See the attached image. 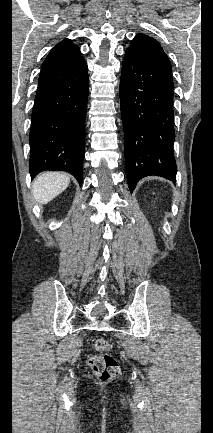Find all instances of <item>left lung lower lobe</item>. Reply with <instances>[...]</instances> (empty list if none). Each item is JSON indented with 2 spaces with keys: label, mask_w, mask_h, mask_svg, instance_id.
<instances>
[{
  "label": "left lung lower lobe",
  "mask_w": 213,
  "mask_h": 433,
  "mask_svg": "<svg viewBox=\"0 0 213 433\" xmlns=\"http://www.w3.org/2000/svg\"><path fill=\"white\" fill-rule=\"evenodd\" d=\"M172 70L128 48L120 79L125 167L130 192L150 175L175 182Z\"/></svg>",
  "instance_id": "left-lung-lower-lobe-1"
}]
</instances>
